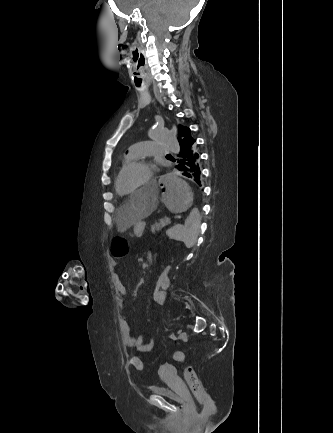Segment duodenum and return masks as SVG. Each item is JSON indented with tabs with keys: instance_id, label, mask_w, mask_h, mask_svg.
<instances>
[{
	"instance_id": "obj_1",
	"label": "duodenum",
	"mask_w": 333,
	"mask_h": 433,
	"mask_svg": "<svg viewBox=\"0 0 333 433\" xmlns=\"http://www.w3.org/2000/svg\"><path fill=\"white\" fill-rule=\"evenodd\" d=\"M148 260H151V256H148Z\"/></svg>"
}]
</instances>
